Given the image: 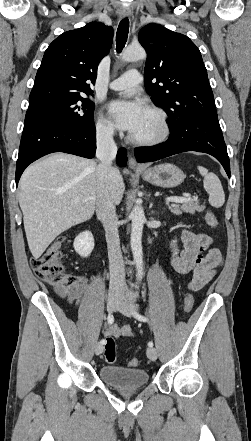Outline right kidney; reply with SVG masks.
I'll list each match as a JSON object with an SVG mask.
<instances>
[{
    "instance_id": "ca27d5eb",
    "label": "right kidney",
    "mask_w": 251,
    "mask_h": 441,
    "mask_svg": "<svg viewBox=\"0 0 251 441\" xmlns=\"http://www.w3.org/2000/svg\"><path fill=\"white\" fill-rule=\"evenodd\" d=\"M73 247L81 257H88L94 249V237L90 231H84L76 236Z\"/></svg>"
}]
</instances>
